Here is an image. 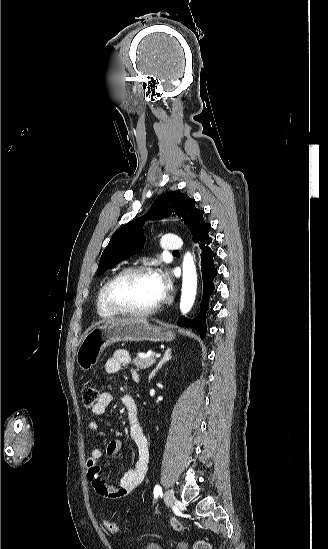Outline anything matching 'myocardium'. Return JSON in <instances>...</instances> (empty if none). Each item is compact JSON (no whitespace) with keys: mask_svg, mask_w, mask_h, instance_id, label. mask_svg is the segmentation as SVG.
Listing matches in <instances>:
<instances>
[{"mask_svg":"<svg viewBox=\"0 0 328 549\" xmlns=\"http://www.w3.org/2000/svg\"><path fill=\"white\" fill-rule=\"evenodd\" d=\"M161 265L162 264L158 260H145V261L127 265L121 271H119L111 280H109V282L106 284V287L104 289L103 297H104L106 311L113 316H138V317L150 316L156 313L160 309L163 303V300H164L163 297L149 308L120 309L114 306L118 303L113 298V291L117 286V284L120 283L126 277L136 273H143V272L154 273L155 271L151 269V267L161 266Z\"/></svg>","mask_w":328,"mask_h":549,"instance_id":"obj_1","label":"myocardium"}]
</instances>
